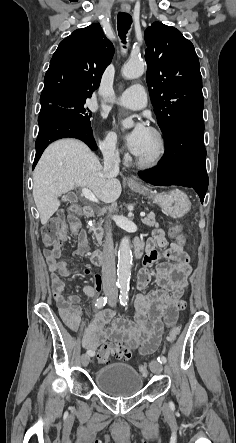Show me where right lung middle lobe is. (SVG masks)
Here are the masks:
<instances>
[{"instance_id": "right-lung-middle-lobe-1", "label": "right lung middle lobe", "mask_w": 236, "mask_h": 443, "mask_svg": "<svg viewBox=\"0 0 236 443\" xmlns=\"http://www.w3.org/2000/svg\"><path fill=\"white\" fill-rule=\"evenodd\" d=\"M86 98L84 96L72 94H57L41 102V107L56 105L65 109L72 116L90 124L91 113L85 108Z\"/></svg>"}]
</instances>
